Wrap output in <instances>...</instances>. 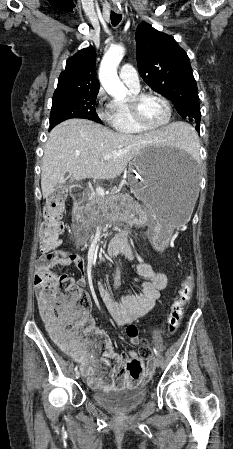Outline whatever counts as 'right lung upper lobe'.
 <instances>
[{
  "label": "right lung upper lobe",
  "instance_id": "obj_1",
  "mask_svg": "<svg viewBox=\"0 0 233 449\" xmlns=\"http://www.w3.org/2000/svg\"><path fill=\"white\" fill-rule=\"evenodd\" d=\"M96 53L92 46L78 51L66 63V69L59 77L56 94L99 91L95 76Z\"/></svg>",
  "mask_w": 233,
  "mask_h": 449
}]
</instances>
